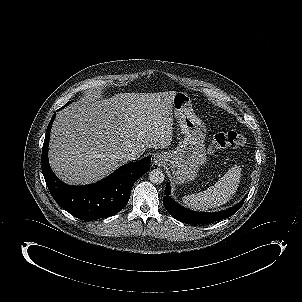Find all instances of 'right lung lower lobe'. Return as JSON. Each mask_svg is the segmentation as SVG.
<instances>
[{"instance_id": "98d812e1", "label": "right lung lower lobe", "mask_w": 302, "mask_h": 302, "mask_svg": "<svg viewBox=\"0 0 302 302\" xmlns=\"http://www.w3.org/2000/svg\"><path fill=\"white\" fill-rule=\"evenodd\" d=\"M56 114L47 127L42 149V172L54 200L71 215L85 221L112 216L129 201L133 184L150 170V157L123 165L103 180L85 186H70L60 181L48 163L50 130Z\"/></svg>"}]
</instances>
